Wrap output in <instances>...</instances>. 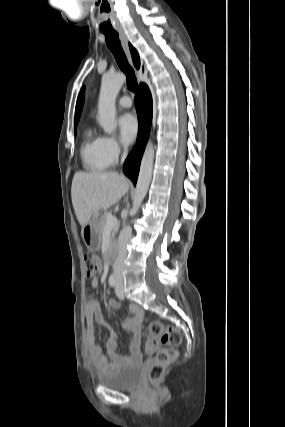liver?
<instances>
[{
  "mask_svg": "<svg viewBox=\"0 0 285 427\" xmlns=\"http://www.w3.org/2000/svg\"><path fill=\"white\" fill-rule=\"evenodd\" d=\"M128 189V180L115 172L75 173L71 198L81 227L89 222L94 213L115 205Z\"/></svg>",
  "mask_w": 285,
  "mask_h": 427,
  "instance_id": "1",
  "label": "liver"
}]
</instances>
